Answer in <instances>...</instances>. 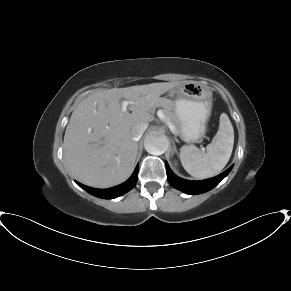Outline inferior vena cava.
Segmentation results:
<instances>
[{
  "label": "inferior vena cava",
  "mask_w": 291,
  "mask_h": 291,
  "mask_svg": "<svg viewBox=\"0 0 291 291\" xmlns=\"http://www.w3.org/2000/svg\"><path fill=\"white\" fill-rule=\"evenodd\" d=\"M146 128H147L146 124L135 125L131 131L132 139L134 141H139V139L141 138V136L145 132Z\"/></svg>",
  "instance_id": "602c4592"
}]
</instances>
